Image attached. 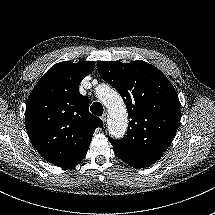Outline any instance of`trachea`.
<instances>
[{
	"mask_svg": "<svg viewBox=\"0 0 215 215\" xmlns=\"http://www.w3.org/2000/svg\"><path fill=\"white\" fill-rule=\"evenodd\" d=\"M91 112L94 114V115H102L103 112H104V109H103V106L100 102H94L92 105H91Z\"/></svg>",
	"mask_w": 215,
	"mask_h": 215,
	"instance_id": "1",
	"label": "trachea"
}]
</instances>
